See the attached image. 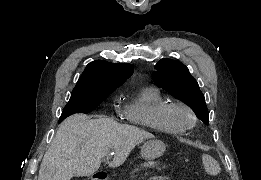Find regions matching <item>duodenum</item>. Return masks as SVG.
Returning <instances> with one entry per match:
<instances>
[{
	"label": "duodenum",
	"instance_id": "1",
	"mask_svg": "<svg viewBox=\"0 0 261 180\" xmlns=\"http://www.w3.org/2000/svg\"><path fill=\"white\" fill-rule=\"evenodd\" d=\"M94 180H109V177L105 173H94Z\"/></svg>",
	"mask_w": 261,
	"mask_h": 180
}]
</instances>
